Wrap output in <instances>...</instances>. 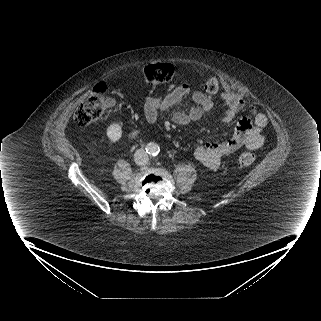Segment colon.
<instances>
[{
	"instance_id": "colon-1",
	"label": "colon",
	"mask_w": 321,
	"mask_h": 321,
	"mask_svg": "<svg viewBox=\"0 0 321 321\" xmlns=\"http://www.w3.org/2000/svg\"><path fill=\"white\" fill-rule=\"evenodd\" d=\"M175 70L169 63L150 64L144 69V77L151 85H160L170 81L174 76ZM204 90L207 94L214 95L220 90L219 80L215 76L209 77L205 84ZM106 85L97 84L91 94L76 109L74 122L85 127L97 122L105 108ZM255 155L249 151H242L236 157V163L240 167H249L255 162Z\"/></svg>"
}]
</instances>
